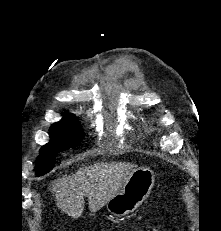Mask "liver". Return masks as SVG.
Returning a JSON list of instances; mask_svg holds the SVG:
<instances>
[{"label":"liver","instance_id":"obj_1","mask_svg":"<svg viewBox=\"0 0 221 231\" xmlns=\"http://www.w3.org/2000/svg\"><path fill=\"white\" fill-rule=\"evenodd\" d=\"M137 166L129 163H101L82 167L72 176L63 175L51 182L56 205L68 216L79 218L84 210V196L91 212L103 208L122 189Z\"/></svg>","mask_w":221,"mask_h":231}]
</instances>
